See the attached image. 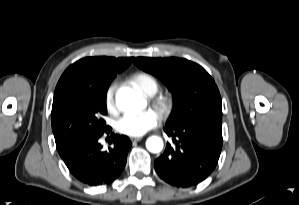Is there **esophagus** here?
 <instances>
[{
  "mask_svg": "<svg viewBox=\"0 0 299 205\" xmlns=\"http://www.w3.org/2000/svg\"><path fill=\"white\" fill-rule=\"evenodd\" d=\"M142 139V137H130V140L132 142H135V141H140Z\"/></svg>",
  "mask_w": 299,
  "mask_h": 205,
  "instance_id": "34e87169",
  "label": "esophagus"
}]
</instances>
